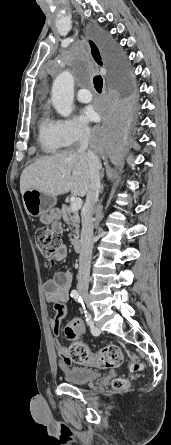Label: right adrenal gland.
I'll list each match as a JSON object with an SVG mask.
<instances>
[{"instance_id":"obj_1","label":"right adrenal gland","mask_w":171,"mask_h":445,"mask_svg":"<svg viewBox=\"0 0 171 445\" xmlns=\"http://www.w3.org/2000/svg\"><path fill=\"white\" fill-rule=\"evenodd\" d=\"M103 191V186L101 187V192Z\"/></svg>"}]
</instances>
